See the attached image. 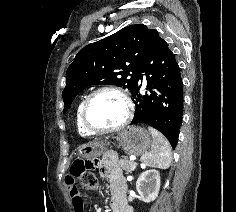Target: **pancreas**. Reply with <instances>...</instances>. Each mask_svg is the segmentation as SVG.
Wrapping results in <instances>:
<instances>
[{"label": "pancreas", "instance_id": "1", "mask_svg": "<svg viewBox=\"0 0 236 212\" xmlns=\"http://www.w3.org/2000/svg\"><path fill=\"white\" fill-rule=\"evenodd\" d=\"M134 164L137 165L134 161L129 160L127 156H123L118 162L119 167L127 173H131L133 171L132 165Z\"/></svg>", "mask_w": 236, "mask_h": 212}]
</instances>
